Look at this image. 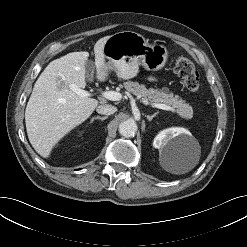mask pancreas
<instances>
[{"mask_svg":"<svg viewBox=\"0 0 247 247\" xmlns=\"http://www.w3.org/2000/svg\"><path fill=\"white\" fill-rule=\"evenodd\" d=\"M124 87L128 92L149 101L151 104L164 103L172 106L181 118L189 120L193 116L192 107L179 96L172 93L169 94L167 88L160 90L154 88L147 89L145 85L133 81L124 82Z\"/></svg>","mask_w":247,"mask_h":247,"instance_id":"obj_1","label":"pancreas"}]
</instances>
